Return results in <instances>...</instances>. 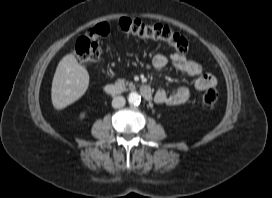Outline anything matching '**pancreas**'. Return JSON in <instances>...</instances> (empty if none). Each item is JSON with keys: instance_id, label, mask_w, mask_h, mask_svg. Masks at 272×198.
<instances>
[{"instance_id": "pancreas-1", "label": "pancreas", "mask_w": 272, "mask_h": 198, "mask_svg": "<svg viewBox=\"0 0 272 198\" xmlns=\"http://www.w3.org/2000/svg\"><path fill=\"white\" fill-rule=\"evenodd\" d=\"M115 84L122 87L128 86L131 90L135 89V85L132 82L126 81L125 79H118Z\"/></svg>"}]
</instances>
